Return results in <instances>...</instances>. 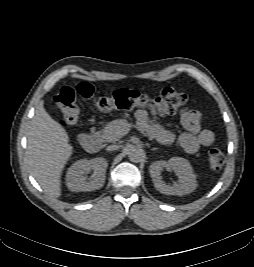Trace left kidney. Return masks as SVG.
<instances>
[{
  "label": "left kidney",
  "instance_id": "left-kidney-1",
  "mask_svg": "<svg viewBox=\"0 0 254 267\" xmlns=\"http://www.w3.org/2000/svg\"><path fill=\"white\" fill-rule=\"evenodd\" d=\"M169 167L174 170L179 182L172 186L165 184L161 177V171ZM149 172L154 187L166 195L182 196L193 192L197 187L196 175L188 160L182 157H172L169 161H156L150 165Z\"/></svg>",
  "mask_w": 254,
  "mask_h": 267
}]
</instances>
